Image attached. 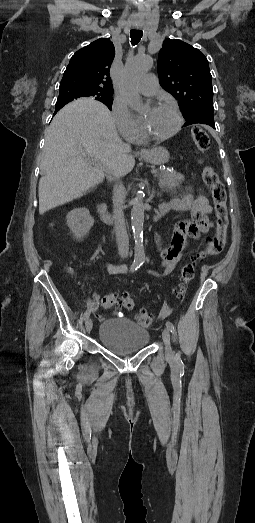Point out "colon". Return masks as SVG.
Returning a JSON list of instances; mask_svg holds the SVG:
<instances>
[{"instance_id":"obj_1","label":"colon","mask_w":255,"mask_h":523,"mask_svg":"<svg viewBox=\"0 0 255 523\" xmlns=\"http://www.w3.org/2000/svg\"><path fill=\"white\" fill-rule=\"evenodd\" d=\"M192 136L200 152L208 150L210 146L209 137L202 128H193ZM202 178L212 196L216 228L215 233L207 237L206 246L194 253L190 257L189 262L182 267L175 289V294L179 299H182L187 292L188 284L192 281L195 274L196 263L209 255L220 254L226 244L229 220L225 186L214 168L209 165L203 167ZM101 304L105 309L122 306L125 309L132 310L134 308V297L130 293H124L122 298L119 299L115 294L109 293L102 298ZM135 320L139 325L144 327H149L152 323L151 316L146 312L136 313Z\"/></svg>"}]
</instances>
